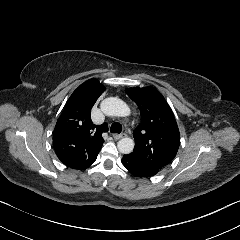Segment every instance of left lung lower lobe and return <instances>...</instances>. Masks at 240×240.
Returning <instances> with one entry per match:
<instances>
[{
    "label": "left lung lower lobe",
    "instance_id": "left-lung-lower-lobe-1",
    "mask_svg": "<svg viewBox=\"0 0 240 240\" xmlns=\"http://www.w3.org/2000/svg\"><path fill=\"white\" fill-rule=\"evenodd\" d=\"M122 163L125 168L135 177H150L154 176L159 171L155 169H148L142 165L135 164L127 157V155L123 156Z\"/></svg>",
    "mask_w": 240,
    "mask_h": 240
}]
</instances>
